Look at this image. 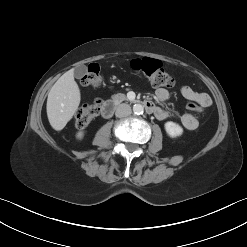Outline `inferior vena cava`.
I'll return each mask as SVG.
<instances>
[{
	"label": "inferior vena cava",
	"instance_id": "inferior-vena-cava-1",
	"mask_svg": "<svg viewBox=\"0 0 247 247\" xmlns=\"http://www.w3.org/2000/svg\"><path fill=\"white\" fill-rule=\"evenodd\" d=\"M131 114V107L128 104H120L115 112L117 117H126Z\"/></svg>",
	"mask_w": 247,
	"mask_h": 247
}]
</instances>
